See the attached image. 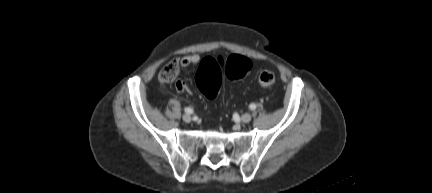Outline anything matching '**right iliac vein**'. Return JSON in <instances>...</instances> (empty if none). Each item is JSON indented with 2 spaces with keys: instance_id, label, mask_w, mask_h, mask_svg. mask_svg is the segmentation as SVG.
<instances>
[{
  "instance_id": "obj_1",
  "label": "right iliac vein",
  "mask_w": 432,
  "mask_h": 193,
  "mask_svg": "<svg viewBox=\"0 0 432 193\" xmlns=\"http://www.w3.org/2000/svg\"><path fill=\"white\" fill-rule=\"evenodd\" d=\"M183 120L188 123V122H190L192 120V118H191V116L189 114H184L183 115Z\"/></svg>"
}]
</instances>
